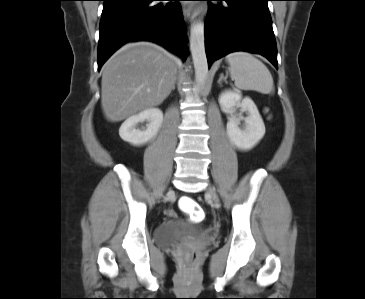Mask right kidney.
<instances>
[{
    "mask_svg": "<svg viewBox=\"0 0 365 299\" xmlns=\"http://www.w3.org/2000/svg\"><path fill=\"white\" fill-rule=\"evenodd\" d=\"M147 121L145 130L137 129L139 122ZM163 113L158 108H148L129 117L120 127V137L132 145H143L152 140L162 126Z\"/></svg>",
    "mask_w": 365,
    "mask_h": 299,
    "instance_id": "ca27d5eb",
    "label": "right kidney"
}]
</instances>
